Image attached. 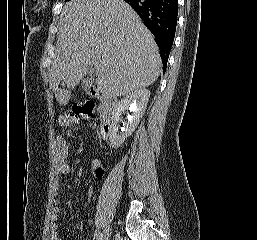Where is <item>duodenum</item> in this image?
<instances>
[{
    "mask_svg": "<svg viewBox=\"0 0 257 240\" xmlns=\"http://www.w3.org/2000/svg\"><path fill=\"white\" fill-rule=\"evenodd\" d=\"M86 92L101 101L102 104V123H101V133L104 137L108 135L112 126V118L114 111L117 106V100L112 95L105 93L101 89L93 86L87 85Z\"/></svg>",
    "mask_w": 257,
    "mask_h": 240,
    "instance_id": "obj_1",
    "label": "duodenum"
}]
</instances>
